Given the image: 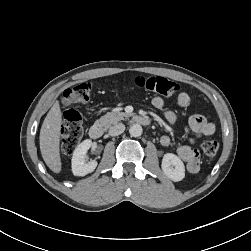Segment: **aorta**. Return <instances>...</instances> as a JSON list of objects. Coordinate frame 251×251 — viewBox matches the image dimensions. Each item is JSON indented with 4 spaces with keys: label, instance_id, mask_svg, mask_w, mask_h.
<instances>
[{
    "label": "aorta",
    "instance_id": "1",
    "mask_svg": "<svg viewBox=\"0 0 251 251\" xmlns=\"http://www.w3.org/2000/svg\"><path fill=\"white\" fill-rule=\"evenodd\" d=\"M143 129L139 124H133L129 128V133L132 137H139L142 135Z\"/></svg>",
    "mask_w": 251,
    "mask_h": 251
}]
</instances>
